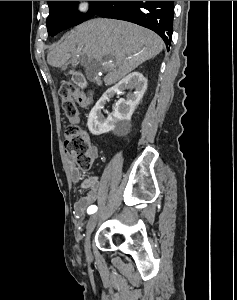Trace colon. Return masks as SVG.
Returning <instances> with one entry per match:
<instances>
[{"label":"colon","instance_id":"colon-1","mask_svg":"<svg viewBox=\"0 0 237 300\" xmlns=\"http://www.w3.org/2000/svg\"><path fill=\"white\" fill-rule=\"evenodd\" d=\"M62 108L69 119L78 116L76 106V90L71 84H63L60 88ZM91 148L88 134L76 124H71L65 131V151L74 158L77 166L87 171L91 168L93 159L89 154Z\"/></svg>","mask_w":237,"mask_h":300}]
</instances>
